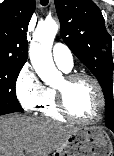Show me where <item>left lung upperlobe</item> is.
Here are the masks:
<instances>
[{
    "instance_id": "1",
    "label": "left lung upper lobe",
    "mask_w": 114,
    "mask_h": 156,
    "mask_svg": "<svg viewBox=\"0 0 114 156\" xmlns=\"http://www.w3.org/2000/svg\"><path fill=\"white\" fill-rule=\"evenodd\" d=\"M55 6L61 37L98 79L105 95L106 126L114 127L112 39L102 13L91 0H55Z\"/></svg>"
}]
</instances>
